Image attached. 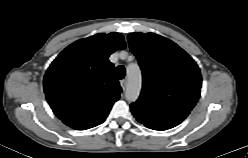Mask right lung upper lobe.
Instances as JSON below:
<instances>
[{"label": "right lung upper lobe", "mask_w": 248, "mask_h": 158, "mask_svg": "<svg viewBox=\"0 0 248 158\" xmlns=\"http://www.w3.org/2000/svg\"><path fill=\"white\" fill-rule=\"evenodd\" d=\"M125 47L120 33H100L70 44L51 63L44 92L66 125L85 130L104 122L122 91L108 57Z\"/></svg>", "instance_id": "right-lung-upper-lobe-1"}]
</instances>
